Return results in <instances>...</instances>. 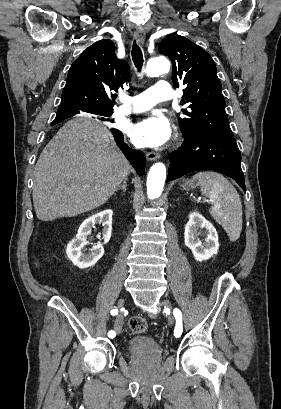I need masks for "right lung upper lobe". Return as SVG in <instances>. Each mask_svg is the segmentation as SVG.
Wrapping results in <instances>:
<instances>
[{
  "mask_svg": "<svg viewBox=\"0 0 281 409\" xmlns=\"http://www.w3.org/2000/svg\"><path fill=\"white\" fill-rule=\"evenodd\" d=\"M129 74L128 63L115 56L114 43L108 39L97 41L71 65L58 112L112 111L109 91H118Z\"/></svg>",
  "mask_w": 281,
  "mask_h": 409,
  "instance_id": "cb5924a9",
  "label": "right lung upper lobe"
}]
</instances>
